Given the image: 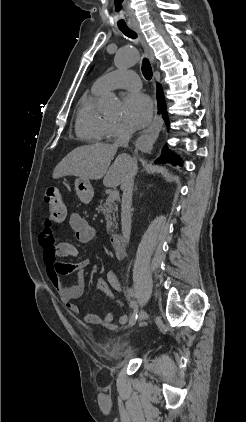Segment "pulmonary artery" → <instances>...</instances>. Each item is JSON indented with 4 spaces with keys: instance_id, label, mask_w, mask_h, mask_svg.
I'll list each match as a JSON object with an SVG mask.
<instances>
[{
    "instance_id": "obj_1",
    "label": "pulmonary artery",
    "mask_w": 246,
    "mask_h": 422,
    "mask_svg": "<svg viewBox=\"0 0 246 422\" xmlns=\"http://www.w3.org/2000/svg\"><path fill=\"white\" fill-rule=\"evenodd\" d=\"M94 88L101 92L118 88L139 90L141 81L139 76L133 71L118 70L98 78L94 83Z\"/></svg>"
}]
</instances>
